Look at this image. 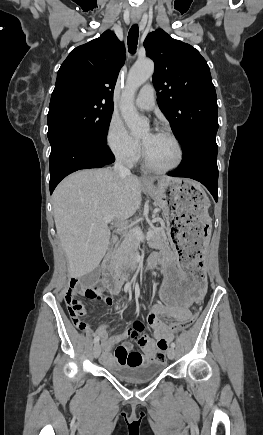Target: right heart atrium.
<instances>
[{
    "label": "right heart atrium",
    "instance_id": "obj_1",
    "mask_svg": "<svg viewBox=\"0 0 263 435\" xmlns=\"http://www.w3.org/2000/svg\"><path fill=\"white\" fill-rule=\"evenodd\" d=\"M106 145L114 157L125 164L136 162L141 155V145L127 131L124 123L112 117L105 135Z\"/></svg>",
    "mask_w": 263,
    "mask_h": 435
}]
</instances>
